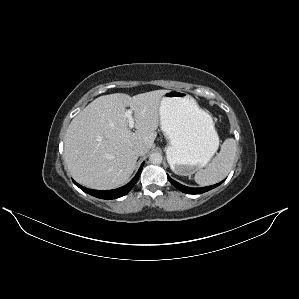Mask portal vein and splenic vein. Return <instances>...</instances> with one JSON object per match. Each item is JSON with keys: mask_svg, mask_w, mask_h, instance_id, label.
I'll list each match as a JSON object with an SVG mask.
<instances>
[{"mask_svg": "<svg viewBox=\"0 0 299 299\" xmlns=\"http://www.w3.org/2000/svg\"><path fill=\"white\" fill-rule=\"evenodd\" d=\"M124 116L128 119L129 128L132 129L134 127V124H135V120H134L133 115H132V110L129 109V110L125 111Z\"/></svg>", "mask_w": 299, "mask_h": 299, "instance_id": "1", "label": "portal vein and splenic vein"}]
</instances>
